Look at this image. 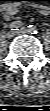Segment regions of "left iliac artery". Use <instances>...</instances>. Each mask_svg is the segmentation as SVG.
<instances>
[{
  "mask_svg": "<svg viewBox=\"0 0 50 111\" xmlns=\"http://www.w3.org/2000/svg\"><path fill=\"white\" fill-rule=\"evenodd\" d=\"M28 31L31 32L32 34H37L38 33V29L33 25L28 26Z\"/></svg>",
  "mask_w": 50,
  "mask_h": 111,
  "instance_id": "1",
  "label": "left iliac artery"
}]
</instances>
